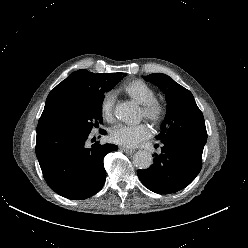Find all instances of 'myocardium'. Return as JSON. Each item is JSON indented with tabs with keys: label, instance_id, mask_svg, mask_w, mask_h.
<instances>
[{
	"label": "myocardium",
	"instance_id": "obj_1",
	"mask_svg": "<svg viewBox=\"0 0 248 248\" xmlns=\"http://www.w3.org/2000/svg\"><path fill=\"white\" fill-rule=\"evenodd\" d=\"M141 111L143 118L156 127L164 122L168 112L166 104L157 98L141 104Z\"/></svg>",
	"mask_w": 248,
	"mask_h": 248
}]
</instances>
